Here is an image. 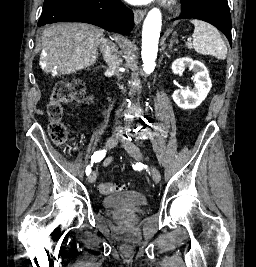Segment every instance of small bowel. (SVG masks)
I'll list each match as a JSON object with an SVG mask.
<instances>
[{
    "label": "small bowel",
    "mask_w": 256,
    "mask_h": 267,
    "mask_svg": "<svg viewBox=\"0 0 256 267\" xmlns=\"http://www.w3.org/2000/svg\"><path fill=\"white\" fill-rule=\"evenodd\" d=\"M112 159L110 157L106 158L102 162V167H107L111 163Z\"/></svg>",
    "instance_id": "small-bowel-1"
}]
</instances>
